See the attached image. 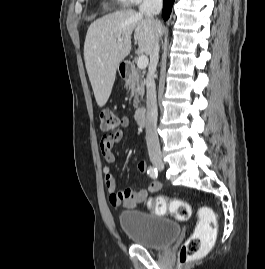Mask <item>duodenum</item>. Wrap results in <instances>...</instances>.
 I'll list each match as a JSON object with an SVG mask.
<instances>
[{
  "label": "duodenum",
  "instance_id": "1",
  "mask_svg": "<svg viewBox=\"0 0 265 269\" xmlns=\"http://www.w3.org/2000/svg\"><path fill=\"white\" fill-rule=\"evenodd\" d=\"M121 75L125 80H134L136 78V71L131 62H126L121 67ZM146 108L139 107L135 111V120L138 125H144L146 123Z\"/></svg>",
  "mask_w": 265,
  "mask_h": 269
}]
</instances>
